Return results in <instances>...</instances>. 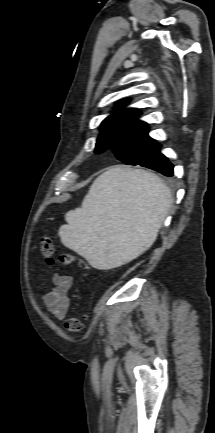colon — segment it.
<instances>
[{
	"mask_svg": "<svg viewBox=\"0 0 215 433\" xmlns=\"http://www.w3.org/2000/svg\"><path fill=\"white\" fill-rule=\"evenodd\" d=\"M40 251L42 256L48 263H53L55 261V248L54 242L49 235H42L40 238ZM61 263L64 265H70L77 262L81 268H88V264L84 260H77L75 255L72 253H64L59 257ZM83 317H70L65 322V329L69 333L80 332L84 327Z\"/></svg>",
	"mask_w": 215,
	"mask_h": 433,
	"instance_id": "colon-1",
	"label": "colon"
}]
</instances>
